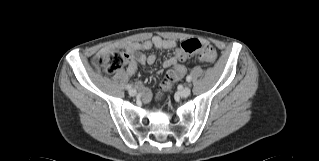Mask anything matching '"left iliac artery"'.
Here are the masks:
<instances>
[{"label": "left iliac artery", "mask_w": 319, "mask_h": 161, "mask_svg": "<svg viewBox=\"0 0 319 161\" xmlns=\"http://www.w3.org/2000/svg\"><path fill=\"white\" fill-rule=\"evenodd\" d=\"M191 80H192V77H191L190 75H188V76L186 77V81L189 83Z\"/></svg>", "instance_id": "obj_1"}]
</instances>
